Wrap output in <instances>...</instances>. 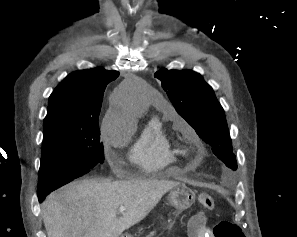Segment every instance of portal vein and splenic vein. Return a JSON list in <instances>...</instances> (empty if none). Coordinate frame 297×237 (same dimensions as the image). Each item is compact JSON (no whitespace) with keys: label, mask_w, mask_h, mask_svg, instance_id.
Instances as JSON below:
<instances>
[{"label":"portal vein and splenic vein","mask_w":297,"mask_h":237,"mask_svg":"<svg viewBox=\"0 0 297 237\" xmlns=\"http://www.w3.org/2000/svg\"><path fill=\"white\" fill-rule=\"evenodd\" d=\"M125 210H126L125 207H120V208H119V213H123Z\"/></svg>","instance_id":"18ae733b"}]
</instances>
